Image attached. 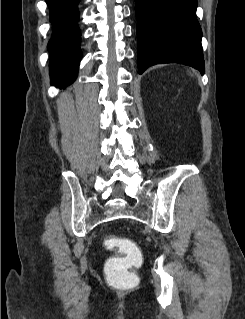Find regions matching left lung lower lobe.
Listing matches in <instances>:
<instances>
[{"label": "left lung lower lobe", "mask_w": 245, "mask_h": 319, "mask_svg": "<svg viewBox=\"0 0 245 319\" xmlns=\"http://www.w3.org/2000/svg\"><path fill=\"white\" fill-rule=\"evenodd\" d=\"M138 71L161 63H182L204 74L197 0H135Z\"/></svg>", "instance_id": "0a47b994"}]
</instances>
